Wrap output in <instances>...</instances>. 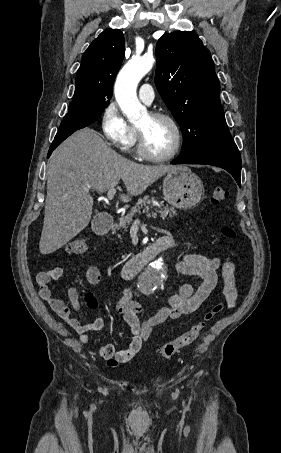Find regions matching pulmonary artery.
Listing matches in <instances>:
<instances>
[{
	"label": "pulmonary artery",
	"mask_w": 281,
	"mask_h": 453,
	"mask_svg": "<svg viewBox=\"0 0 281 453\" xmlns=\"http://www.w3.org/2000/svg\"><path fill=\"white\" fill-rule=\"evenodd\" d=\"M150 88L151 84L149 83L141 85L138 95L139 99L147 105H150L154 100V94L151 92H146Z\"/></svg>",
	"instance_id": "e3ab8cb5"
}]
</instances>
